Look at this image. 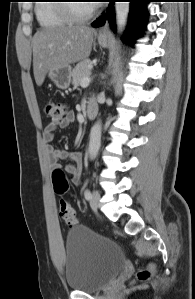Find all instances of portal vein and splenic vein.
<instances>
[{
  "mask_svg": "<svg viewBox=\"0 0 195 299\" xmlns=\"http://www.w3.org/2000/svg\"><path fill=\"white\" fill-rule=\"evenodd\" d=\"M91 82V77H85L81 80V86L82 87H85L87 85H89V83Z\"/></svg>",
  "mask_w": 195,
  "mask_h": 299,
  "instance_id": "obj_1",
  "label": "portal vein and splenic vein"
}]
</instances>
